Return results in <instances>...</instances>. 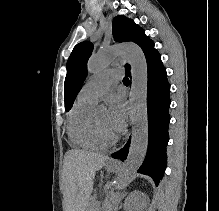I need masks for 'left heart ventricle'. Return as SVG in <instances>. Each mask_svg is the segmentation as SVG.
<instances>
[{
  "mask_svg": "<svg viewBox=\"0 0 219 211\" xmlns=\"http://www.w3.org/2000/svg\"><path fill=\"white\" fill-rule=\"evenodd\" d=\"M95 117L103 127L110 131H113L109 125L106 110L99 112L97 115H95Z\"/></svg>",
  "mask_w": 219,
  "mask_h": 211,
  "instance_id": "b2bd125f",
  "label": "left heart ventricle"
}]
</instances>
